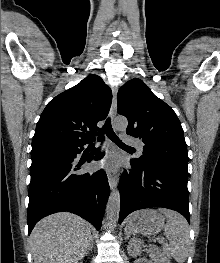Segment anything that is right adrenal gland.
<instances>
[{
    "mask_svg": "<svg viewBox=\"0 0 220 263\" xmlns=\"http://www.w3.org/2000/svg\"><path fill=\"white\" fill-rule=\"evenodd\" d=\"M92 249H93V239L91 240V243H90V245H89V247H88V249H87V251H86V254H85V255H88V254H89V252H90Z\"/></svg>",
    "mask_w": 220,
    "mask_h": 263,
    "instance_id": "1",
    "label": "right adrenal gland"
}]
</instances>
